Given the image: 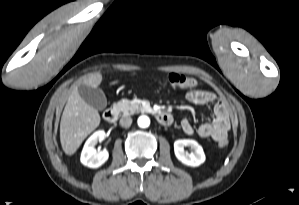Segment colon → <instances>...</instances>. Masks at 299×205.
I'll list each match as a JSON object with an SVG mask.
<instances>
[{"label": "colon", "mask_w": 299, "mask_h": 205, "mask_svg": "<svg viewBox=\"0 0 299 205\" xmlns=\"http://www.w3.org/2000/svg\"><path fill=\"white\" fill-rule=\"evenodd\" d=\"M164 82L169 87L174 89H193L197 86L196 79L179 73H171L167 75L164 79ZM227 145H228L227 138L218 141V146L220 148H225Z\"/></svg>", "instance_id": "obj_1"}]
</instances>
